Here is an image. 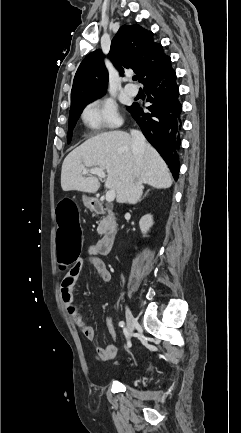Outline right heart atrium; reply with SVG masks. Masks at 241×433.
<instances>
[{
  "label": "right heart atrium",
  "instance_id": "obj_1",
  "mask_svg": "<svg viewBox=\"0 0 241 433\" xmlns=\"http://www.w3.org/2000/svg\"><path fill=\"white\" fill-rule=\"evenodd\" d=\"M82 120L93 129L114 128L120 124L116 105L109 99L96 100L86 106L82 112Z\"/></svg>",
  "mask_w": 241,
  "mask_h": 433
}]
</instances>
